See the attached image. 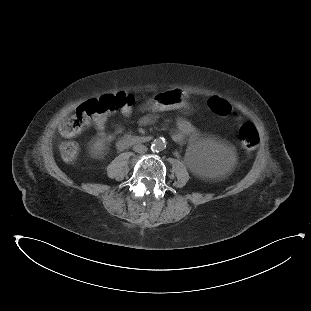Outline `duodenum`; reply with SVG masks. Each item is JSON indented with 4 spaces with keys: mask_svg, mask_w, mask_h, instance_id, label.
<instances>
[{
    "mask_svg": "<svg viewBox=\"0 0 311 311\" xmlns=\"http://www.w3.org/2000/svg\"><path fill=\"white\" fill-rule=\"evenodd\" d=\"M150 142L149 136L127 134L118 140L117 146L119 149H127L135 145H146Z\"/></svg>",
    "mask_w": 311,
    "mask_h": 311,
    "instance_id": "1",
    "label": "duodenum"
}]
</instances>
